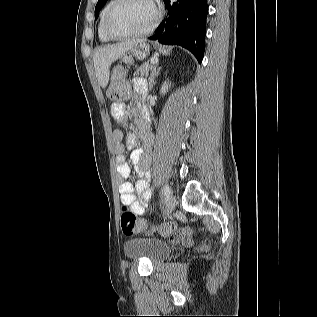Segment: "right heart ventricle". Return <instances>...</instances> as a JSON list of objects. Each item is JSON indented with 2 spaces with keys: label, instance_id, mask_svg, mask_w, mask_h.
<instances>
[{
  "label": "right heart ventricle",
  "instance_id": "e07e8e85",
  "mask_svg": "<svg viewBox=\"0 0 317 317\" xmlns=\"http://www.w3.org/2000/svg\"><path fill=\"white\" fill-rule=\"evenodd\" d=\"M113 2H114V0H109L107 2V4L104 6V8L102 9V12L100 15V20H99V24H98V36H99V39L103 43H107V42L111 41V39L105 33L104 21H105L106 13H107L108 9L110 8V6L113 4Z\"/></svg>",
  "mask_w": 317,
  "mask_h": 317
}]
</instances>
